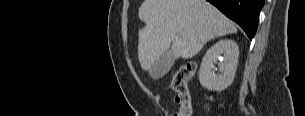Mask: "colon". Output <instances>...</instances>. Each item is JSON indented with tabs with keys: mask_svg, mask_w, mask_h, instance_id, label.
I'll return each mask as SVG.
<instances>
[{
	"mask_svg": "<svg viewBox=\"0 0 305 116\" xmlns=\"http://www.w3.org/2000/svg\"><path fill=\"white\" fill-rule=\"evenodd\" d=\"M197 70L195 63H188L179 67L172 80L171 88L176 94V101L179 104L177 112L170 114L169 116H191V97L188 91L187 82L194 76Z\"/></svg>",
	"mask_w": 305,
	"mask_h": 116,
	"instance_id": "obj_1",
	"label": "colon"
}]
</instances>
